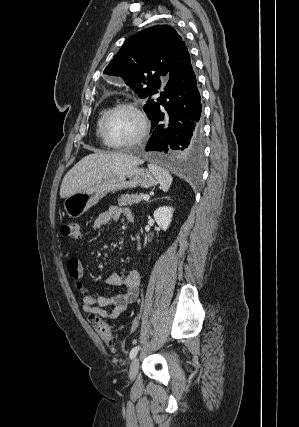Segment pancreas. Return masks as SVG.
Masks as SVG:
<instances>
[{"instance_id":"cf45deb5","label":"pancreas","mask_w":299,"mask_h":427,"mask_svg":"<svg viewBox=\"0 0 299 427\" xmlns=\"http://www.w3.org/2000/svg\"><path fill=\"white\" fill-rule=\"evenodd\" d=\"M143 196H144L143 193L131 194V195L126 194L118 198L117 202L119 206L138 204L142 201Z\"/></svg>"}]
</instances>
